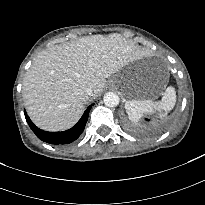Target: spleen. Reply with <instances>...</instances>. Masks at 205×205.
Returning a JSON list of instances; mask_svg holds the SVG:
<instances>
[{"mask_svg":"<svg viewBox=\"0 0 205 205\" xmlns=\"http://www.w3.org/2000/svg\"><path fill=\"white\" fill-rule=\"evenodd\" d=\"M176 103V91L172 86L167 87L160 101L152 100H129L125 103L128 117L133 122H138L145 113L153 111L168 112L173 109Z\"/></svg>","mask_w":205,"mask_h":205,"instance_id":"obj_1","label":"spleen"}]
</instances>
